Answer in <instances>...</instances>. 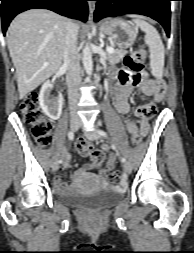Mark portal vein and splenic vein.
<instances>
[{
	"instance_id": "portal-vein-and-splenic-vein-1",
	"label": "portal vein and splenic vein",
	"mask_w": 194,
	"mask_h": 253,
	"mask_svg": "<svg viewBox=\"0 0 194 253\" xmlns=\"http://www.w3.org/2000/svg\"><path fill=\"white\" fill-rule=\"evenodd\" d=\"M106 51H107V53H114V49L112 47H107Z\"/></svg>"
}]
</instances>
